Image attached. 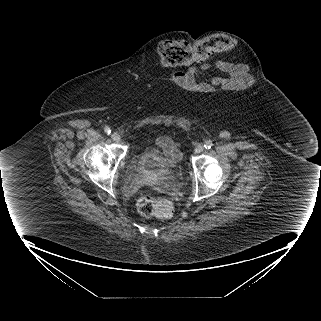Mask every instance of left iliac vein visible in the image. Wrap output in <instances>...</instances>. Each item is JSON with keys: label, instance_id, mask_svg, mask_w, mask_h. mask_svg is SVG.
I'll list each match as a JSON object with an SVG mask.
<instances>
[{"label": "left iliac vein", "instance_id": "obj_1", "mask_svg": "<svg viewBox=\"0 0 321 321\" xmlns=\"http://www.w3.org/2000/svg\"><path fill=\"white\" fill-rule=\"evenodd\" d=\"M203 150H204V145H203V144H198V145L195 147L194 152H195L196 154H199V153H201Z\"/></svg>", "mask_w": 321, "mask_h": 321}]
</instances>
